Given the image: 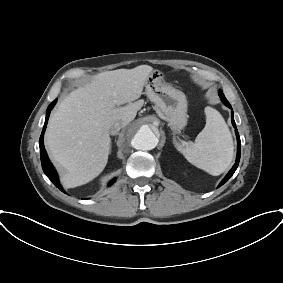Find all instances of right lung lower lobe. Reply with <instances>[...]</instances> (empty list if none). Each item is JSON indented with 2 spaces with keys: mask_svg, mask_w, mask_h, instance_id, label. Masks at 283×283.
Segmentation results:
<instances>
[{
  "mask_svg": "<svg viewBox=\"0 0 283 283\" xmlns=\"http://www.w3.org/2000/svg\"><path fill=\"white\" fill-rule=\"evenodd\" d=\"M55 103H56V100H54L47 108L44 127H43V130H42V134L40 136V139H39V147H40V155H41V165H42L44 173L46 174V176L52 181V183L57 188H59L62 192H64L62 187L59 185L57 173H56L53 165L51 164L50 160L48 159V156H47L46 150L44 148V144H43V136H44V132H45V129H46V126H47L48 118H49L50 112H51L52 108L54 107Z\"/></svg>",
  "mask_w": 283,
  "mask_h": 283,
  "instance_id": "right-lung-lower-lobe-1",
  "label": "right lung lower lobe"
}]
</instances>
